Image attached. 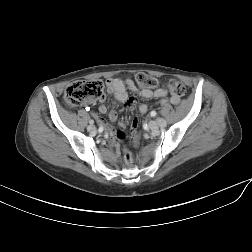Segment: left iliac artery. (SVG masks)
Instances as JSON below:
<instances>
[{
	"label": "left iliac artery",
	"mask_w": 252,
	"mask_h": 252,
	"mask_svg": "<svg viewBox=\"0 0 252 252\" xmlns=\"http://www.w3.org/2000/svg\"><path fill=\"white\" fill-rule=\"evenodd\" d=\"M156 114H157V113H156L155 111H152V112H151V116H152V117L156 116Z\"/></svg>",
	"instance_id": "obj_1"
}]
</instances>
